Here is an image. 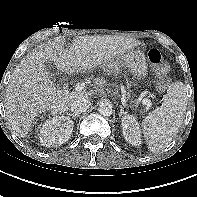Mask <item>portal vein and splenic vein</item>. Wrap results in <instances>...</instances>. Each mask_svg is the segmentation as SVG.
I'll return each mask as SVG.
<instances>
[{"label":"portal vein and splenic vein","mask_w":197,"mask_h":197,"mask_svg":"<svg viewBox=\"0 0 197 197\" xmlns=\"http://www.w3.org/2000/svg\"><path fill=\"white\" fill-rule=\"evenodd\" d=\"M86 88V84L85 83H77L75 86L76 91H82ZM142 104L146 106V110H149L151 107V100H149L148 98H144L142 100Z\"/></svg>","instance_id":"18ae733b"}]
</instances>
